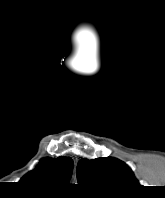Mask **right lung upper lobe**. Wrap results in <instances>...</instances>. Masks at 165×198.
Wrapping results in <instances>:
<instances>
[{
  "instance_id": "cb5924a9",
  "label": "right lung upper lobe",
  "mask_w": 165,
  "mask_h": 198,
  "mask_svg": "<svg viewBox=\"0 0 165 198\" xmlns=\"http://www.w3.org/2000/svg\"><path fill=\"white\" fill-rule=\"evenodd\" d=\"M73 160L69 157L44 158L31 172L27 173L20 182L28 186L52 188L65 185L71 178Z\"/></svg>"
}]
</instances>
